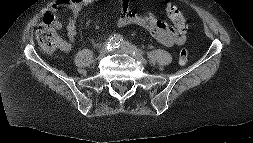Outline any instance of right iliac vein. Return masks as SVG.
I'll return each mask as SVG.
<instances>
[{"instance_id": "1", "label": "right iliac vein", "mask_w": 253, "mask_h": 143, "mask_svg": "<svg viewBox=\"0 0 253 143\" xmlns=\"http://www.w3.org/2000/svg\"><path fill=\"white\" fill-rule=\"evenodd\" d=\"M105 52H106L105 50H101V51H100V55L103 56V55L105 54Z\"/></svg>"}]
</instances>
